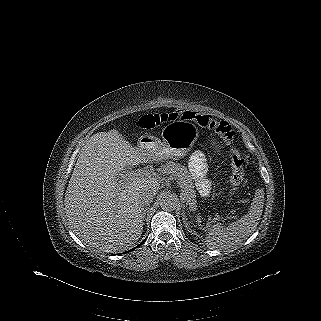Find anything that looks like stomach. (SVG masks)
<instances>
[{
  "instance_id": "obj_1",
  "label": "stomach",
  "mask_w": 321,
  "mask_h": 321,
  "mask_svg": "<svg viewBox=\"0 0 321 321\" xmlns=\"http://www.w3.org/2000/svg\"><path fill=\"white\" fill-rule=\"evenodd\" d=\"M198 136V129L193 123L177 120L168 123L162 129L161 140L143 135L138 140V146L160 158L178 159L187 155Z\"/></svg>"
}]
</instances>
